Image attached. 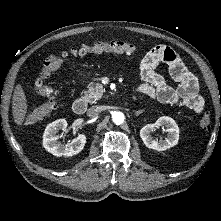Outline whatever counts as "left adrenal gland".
I'll return each mask as SVG.
<instances>
[{
    "label": "left adrenal gland",
    "mask_w": 221,
    "mask_h": 221,
    "mask_svg": "<svg viewBox=\"0 0 221 221\" xmlns=\"http://www.w3.org/2000/svg\"><path fill=\"white\" fill-rule=\"evenodd\" d=\"M143 112H144V110H138V111L135 112V116H138L139 114H141Z\"/></svg>",
    "instance_id": "obj_1"
}]
</instances>
